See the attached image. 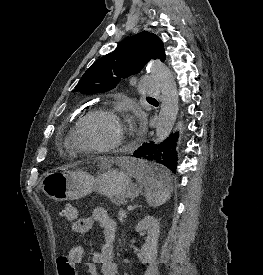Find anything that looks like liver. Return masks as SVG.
<instances>
[{"mask_svg":"<svg viewBox=\"0 0 263 275\" xmlns=\"http://www.w3.org/2000/svg\"><path fill=\"white\" fill-rule=\"evenodd\" d=\"M126 161H127V159L118 158V159H115V160H114V159H111V160H109V161H108V160H105L104 163H105V164H112L113 162H123V163H124V162H126Z\"/></svg>","mask_w":263,"mask_h":275,"instance_id":"6515ba94","label":"liver"}]
</instances>
